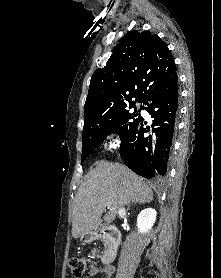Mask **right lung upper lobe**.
Wrapping results in <instances>:
<instances>
[{
  "label": "right lung upper lobe",
  "mask_w": 221,
  "mask_h": 278,
  "mask_svg": "<svg viewBox=\"0 0 221 278\" xmlns=\"http://www.w3.org/2000/svg\"><path fill=\"white\" fill-rule=\"evenodd\" d=\"M176 73L167 45L149 31H129L104 68L90 81L84 107L85 122L110 115L132 101L143 102L148 93Z\"/></svg>",
  "instance_id": "cb5924a9"
}]
</instances>
